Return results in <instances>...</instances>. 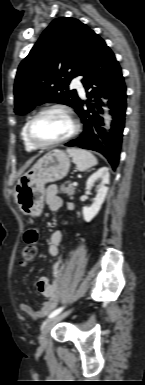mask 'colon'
<instances>
[{
	"label": "colon",
	"mask_w": 145,
	"mask_h": 385,
	"mask_svg": "<svg viewBox=\"0 0 145 385\" xmlns=\"http://www.w3.org/2000/svg\"><path fill=\"white\" fill-rule=\"evenodd\" d=\"M39 238V230L36 227L28 228L24 233V246L21 251L20 260L23 265L30 263L37 252V242ZM62 263H57L54 266V272L60 274L62 272Z\"/></svg>",
	"instance_id": "obj_1"
}]
</instances>
